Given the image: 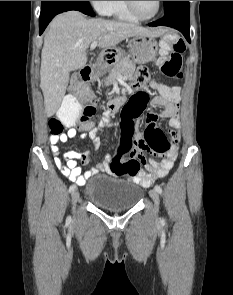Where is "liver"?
<instances>
[{
	"label": "liver",
	"instance_id": "1",
	"mask_svg": "<svg viewBox=\"0 0 233 295\" xmlns=\"http://www.w3.org/2000/svg\"><path fill=\"white\" fill-rule=\"evenodd\" d=\"M162 32L132 23L86 19L74 10L57 15L45 32L41 53L40 88L47 117L59 109L70 72L86 65L87 49L93 41H99V47L107 49L136 35L158 37Z\"/></svg>",
	"mask_w": 233,
	"mask_h": 295
}]
</instances>
